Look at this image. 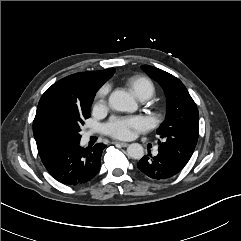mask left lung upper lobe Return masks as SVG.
<instances>
[{
	"label": "left lung upper lobe",
	"instance_id": "left-lung-upper-lobe-1",
	"mask_svg": "<svg viewBox=\"0 0 241 241\" xmlns=\"http://www.w3.org/2000/svg\"><path fill=\"white\" fill-rule=\"evenodd\" d=\"M142 68L162 86L167 98V115L156 132L162 138L158 141V150L168 153L185 166L198 140L197 106L179 79L153 66L143 65Z\"/></svg>",
	"mask_w": 241,
	"mask_h": 241
}]
</instances>
